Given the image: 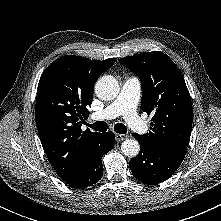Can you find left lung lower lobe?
<instances>
[{"label":"left lung lower lobe","mask_w":221,"mask_h":221,"mask_svg":"<svg viewBox=\"0 0 221 221\" xmlns=\"http://www.w3.org/2000/svg\"><path fill=\"white\" fill-rule=\"evenodd\" d=\"M133 136L138 140L135 134ZM140 153L129 161L136 179L147 184H158L171 177L178 169L184 156L151 148L138 140Z\"/></svg>","instance_id":"1"}]
</instances>
